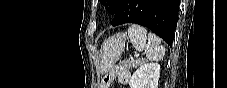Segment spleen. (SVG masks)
Here are the masks:
<instances>
[{"label":"spleen","instance_id":"3e777b00","mask_svg":"<svg viewBox=\"0 0 227 88\" xmlns=\"http://www.w3.org/2000/svg\"><path fill=\"white\" fill-rule=\"evenodd\" d=\"M128 36L137 51L145 50L147 59L158 61L164 57L165 48L161 45L160 38L152 33L147 34L144 27L132 24L128 28Z\"/></svg>","mask_w":227,"mask_h":88}]
</instances>
